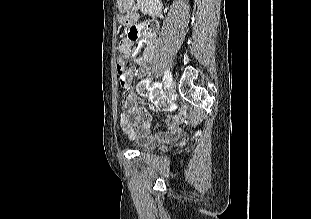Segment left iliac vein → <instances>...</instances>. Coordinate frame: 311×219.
Listing matches in <instances>:
<instances>
[{
	"instance_id": "obj_1",
	"label": "left iliac vein",
	"mask_w": 311,
	"mask_h": 219,
	"mask_svg": "<svg viewBox=\"0 0 311 219\" xmlns=\"http://www.w3.org/2000/svg\"><path fill=\"white\" fill-rule=\"evenodd\" d=\"M175 90H176V83L172 81L167 90L168 97H171L175 93Z\"/></svg>"
}]
</instances>
